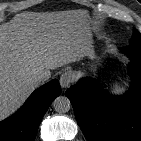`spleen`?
I'll return each mask as SVG.
<instances>
[{
  "label": "spleen",
  "instance_id": "obj_1",
  "mask_svg": "<svg viewBox=\"0 0 141 141\" xmlns=\"http://www.w3.org/2000/svg\"><path fill=\"white\" fill-rule=\"evenodd\" d=\"M112 91H113L114 93L119 94V93L122 91V89H121L119 86H116Z\"/></svg>",
  "mask_w": 141,
  "mask_h": 141
}]
</instances>
